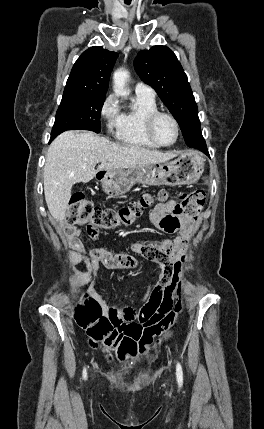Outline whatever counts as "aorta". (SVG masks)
Here are the masks:
<instances>
[{
  "label": "aorta",
  "instance_id": "obj_1",
  "mask_svg": "<svg viewBox=\"0 0 264 429\" xmlns=\"http://www.w3.org/2000/svg\"><path fill=\"white\" fill-rule=\"evenodd\" d=\"M129 78V73L125 69H118L113 75L114 92L119 96H127L129 92L126 90V82Z\"/></svg>",
  "mask_w": 264,
  "mask_h": 429
}]
</instances>
